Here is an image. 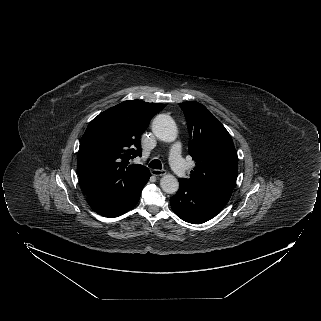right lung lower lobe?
<instances>
[{
	"mask_svg": "<svg viewBox=\"0 0 321 321\" xmlns=\"http://www.w3.org/2000/svg\"><path fill=\"white\" fill-rule=\"evenodd\" d=\"M150 178L128 189H108L87 196L90 207L105 217H117L132 209L139 201L141 190Z\"/></svg>",
	"mask_w": 321,
	"mask_h": 321,
	"instance_id": "obj_1",
	"label": "right lung lower lobe"
}]
</instances>
